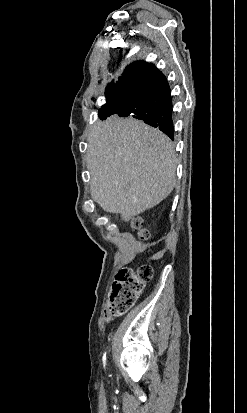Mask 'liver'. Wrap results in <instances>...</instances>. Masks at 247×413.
I'll return each instance as SVG.
<instances>
[{
	"label": "liver",
	"instance_id": "liver-1",
	"mask_svg": "<svg viewBox=\"0 0 247 413\" xmlns=\"http://www.w3.org/2000/svg\"><path fill=\"white\" fill-rule=\"evenodd\" d=\"M174 146L159 128L137 118H106L93 126L87 148L91 196L123 219L159 204L176 184Z\"/></svg>",
	"mask_w": 247,
	"mask_h": 413
}]
</instances>
